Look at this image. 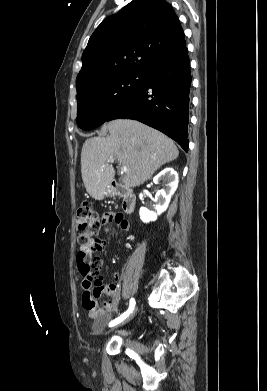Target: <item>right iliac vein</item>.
<instances>
[{"instance_id":"right-iliac-vein-1","label":"right iliac vein","mask_w":267,"mask_h":391,"mask_svg":"<svg viewBox=\"0 0 267 391\" xmlns=\"http://www.w3.org/2000/svg\"><path fill=\"white\" fill-rule=\"evenodd\" d=\"M137 309H138V307L134 308L132 310V312L121 323H119L118 325L113 327L109 332L116 330L118 327H121V326L125 325L126 323H128L130 320H132L137 312Z\"/></svg>"}]
</instances>
